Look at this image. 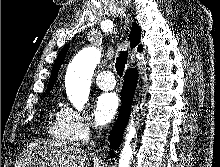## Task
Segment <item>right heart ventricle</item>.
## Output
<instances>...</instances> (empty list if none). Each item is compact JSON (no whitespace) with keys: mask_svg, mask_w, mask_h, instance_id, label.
Instances as JSON below:
<instances>
[{"mask_svg":"<svg viewBox=\"0 0 220 167\" xmlns=\"http://www.w3.org/2000/svg\"><path fill=\"white\" fill-rule=\"evenodd\" d=\"M48 129L50 135L60 143L71 145L74 142L63 121L61 111L53 112L50 115Z\"/></svg>","mask_w":220,"mask_h":167,"instance_id":"e07e8e85","label":"right heart ventricle"}]
</instances>
